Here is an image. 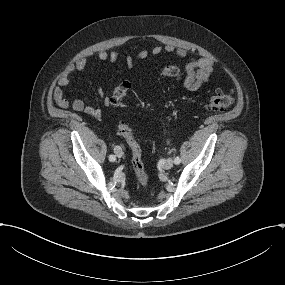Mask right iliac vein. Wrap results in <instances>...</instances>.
<instances>
[{"label": "right iliac vein", "instance_id": "63e3f726", "mask_svg": "<svg viewBox=\"0 0 285 285\" xmlns=\"http://www.w3.org/2000/svg\"><path fill=\"white\" fill-rule=\"evenodd\" d=\"M114 152H115L116 156L119 158L122 157V155H123L122 149L119 146H116L114 148Z\"/></svg>", "mask_w": 285, "mask_h": 285}]
</instances>
